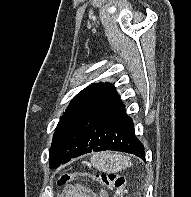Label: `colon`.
<instances>
[{
	"instance_id": "1",
	"label": "colon",
	"mask_w": 191,
	"mask_h": 197,
	"mask_svg": "<svg viewBox=\"0 0 191 197\" xmlns=\"http://www.w3.org/2000/svg\"><path fill=\"white\" fill-rule=\"evenodd\" d=\"M79 178L96 181L103 187L114 192L113 197H123L126 180L123 175L116 173H100L96 175L62 172L58 178V185H66Z\"/></svg>"
}]
</instances>
